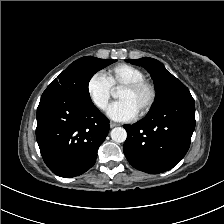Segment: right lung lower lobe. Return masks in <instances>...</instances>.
<instances>
[{
    "label": "right lung lower lobe",
    "instance_id": "1",
    "mask_svg": "<svg viewBox=\"0 0 224 224\" xmlns=\"http://www.w3.org/2000/svg\"><path fill=\"white\" fill-rule=\"evenodd\" d=\"M36 118L40 152L53 173L70 178L94 165L110 125L91 100L45 90Z\"/></svg>",
    "mask_w": 224,
    "mask_h": 224
}]
</instances>
